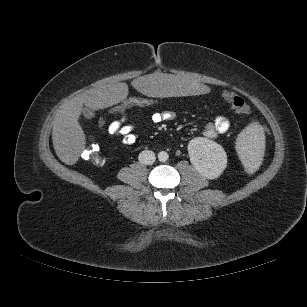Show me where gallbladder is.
I'll return each mask as SVG.
<instances>
[{
    "instance_id": "bac80fb5",
    "label": "gallbladder",
    "mask_w": 307,
    "mask_h": 307,
    "mask_svg": "<svg viewBox=\"0 0 307 307\" xmlns=\"http://www.w3.org/2000/svg\"><path fill=\"white\" fill-rule=\"evenodd\" d=\"M83 115L88 119H91L92 117H94L93 111L89 108H84Z\"/></svg>"
}]
</instances>
